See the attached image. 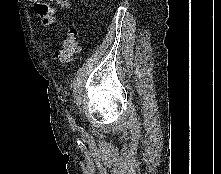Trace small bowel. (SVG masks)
Masks as SVG:
<instances>
[{
	"label": "small bowel",
	"instance_id": "small-bowel-1",
	"mask_svg": "<svg viewBox=\"0 0 221 174\" xmlns=\"http://www.w3.org/2000/svg\"><path fill=\"white\" fill-rule=\"evenodd\" d=\"M34 3V12L40 18L42 26H50L54 22V8L40 0H31ZM60 10L70 7L69 0H52Z\"/></svg>",
	"mask_w": 221,
	"mask_h": 174
}]
</instances>
